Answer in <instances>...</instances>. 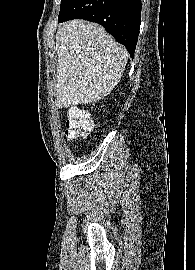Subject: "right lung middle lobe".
I'll use <instances>...</instances> for the list:
<instances>
[{"label":"right lung middle lobe","instance_id":"obj_1","mask_svg":"<svg viewBox=\"0 0 195 270\" xmlns=\"http://www.w3.org/2000/svg\"><path fill=\"white\" fill-rule=\"evenodd\" d=\"M73 1L74 0H61L60 13L64 12Z\"/></svg>","mask_w":195,"mask_h":270}]
</instances>
